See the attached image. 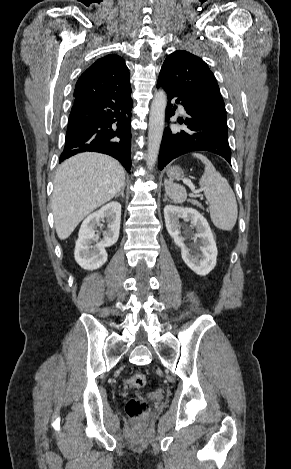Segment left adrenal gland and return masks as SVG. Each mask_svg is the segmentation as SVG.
<instances>
[{
	"mask_svg": "<svg viewBox=\"0 0 291 469\" xmlns=\"http://www.w3.org/2000/svg\"><path fill=\"white\" fill-rule=\"evenodd\" d=\"M167 200H168V198H167V195L165 194L163 201L166 202Z\"/></svg>",
	"mask_w": 291,
	"mask_h": 469,
	"instance_id": "left-adrenal-gland-1",
	"label": "left adrenal gland"
}]
</instances>
